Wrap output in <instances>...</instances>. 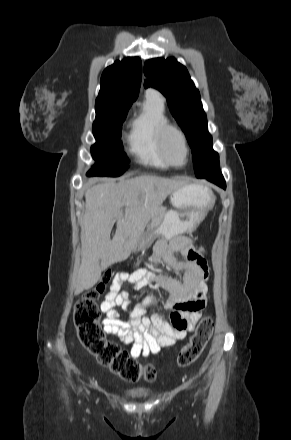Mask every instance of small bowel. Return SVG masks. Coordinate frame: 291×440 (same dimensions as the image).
Returning a JSON list of instances; mask_svg holds the SVG:
<instances>
[{
	"label": "small bowel",
	"mask_w": 291,
	"mask_h": 440,
	"mask_svg": "<svg viewBox=\"0 0 291 440\" xmlns=\"http://www.w3.org/2000/svg\"><path fill=\"white\" fill-rule=\"evenodd\" d=\"M176 254L182 258L177 259ZM149 260L152 267L164 260L174 271L184 273L183 281L143 270L131 275L119 274L114 277L101 304V311L106 314L104 332L130 345V354L134 358L157 354L161 347L172 346L185 339L195 329L207 304L205 279L208 267L203 247L186 236L174 237L167 242L161 240L155 245ZM152 280H157L170 294L163 303L164 310L146 316L144 303L136 306L129 318L123 320L119 309L126 311L130 298L127 290H121L122 284L140 288Z\"/></svg>",
	"instance_id": "obj_1"
}]
</instances>
